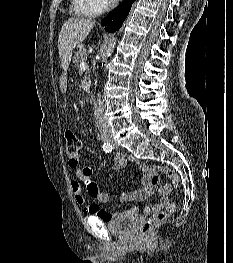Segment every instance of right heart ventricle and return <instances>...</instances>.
<instances>
[{"mask_svg": "<svg viewBox=\"0 0 233 263\" xmlns=\"http://www.w3.org/2000/svg\"><path fill=\"white\" fill-rule=\"evenodd\" d=\"M76 10L84 16L92 15V12L87 8L83 0H74Z\"/></svg>", "mask_w": 233, "mask_h": 263, "instance_id": "1", "label": "right heart ventricle"}]
</instances>
